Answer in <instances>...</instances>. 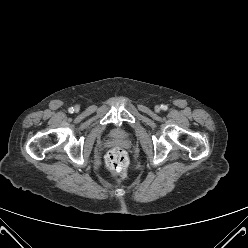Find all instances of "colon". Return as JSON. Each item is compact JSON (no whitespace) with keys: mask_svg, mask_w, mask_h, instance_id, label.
Wrapping results in <instances>:
<instances>
[{"mask_svg":"<svg viewBox=\"0 0 248 248\" xmlns=\"http://www.w3.org/2000/svg\"><path fill=\"white\" fill-rule=\"evenodd\" d=\"M106 165L114 176L120 179L124 178L128 166L126 152L119 147L111 149L106 156Z\"/></svg>","mask_w":248,"mask_h":248,"instance_id":"5ec220e1","label":"colon"}]
</instances>
